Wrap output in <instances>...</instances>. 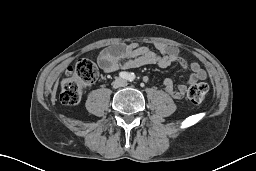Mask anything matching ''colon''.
<instances>
[{"instance_id": "colon-1", "label": "colon", "mask_w": 256, "mask_h": 171, "mask_svg": "<svg viewBox=\"0 0 256 171\" xmlns=\"http://www.w3.org/2000/svg\"><path fill=\"white\" fill-rule=\"evenodd\" d=\"M98 76V69L89 60L81 59L75 65L70 66L66 76L60 85V100L64 105L77 104L83 89L92 84ZM209 86L204 82L192 85L188 90V99L191 104L199 105L207 97Z\"/></svg>"}]
</instances>
